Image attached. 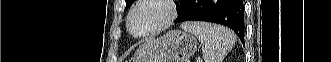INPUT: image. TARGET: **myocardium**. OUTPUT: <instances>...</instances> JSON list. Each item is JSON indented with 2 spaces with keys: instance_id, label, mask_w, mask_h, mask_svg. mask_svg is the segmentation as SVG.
<instances>
[{
  "instance_id": "1",
  "label": "myocardium",
  "mask_w": 331,
  "mask_h": 62,
  "mask_svg": "<svg viewBox=\"0 0 331 62\" xmlns=\"http://www.w3.org/2000/svg\"><path fill=\"white\" fill-rule=\"evenodd\" d=\"M161 3L162 5L165 6L166 10H167V14L164 17V19L157 24L156 26L152 27L151 29L147 30L144 33H134L132 30V18L135 14V12L143 5L147 4V3ZM177 8H176V4L174 1L172 0H139L135 3V5L132 7V9L129 11L128 13V17H127V28L128 31L130 32L131 35H133L134 37L137 38H145L148 36H151L153 34H156L164 29H166L168 26H170L172 24V22L175 20V18L177 17Z\"/></svg>"
}]
</instances>
